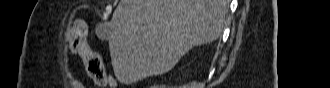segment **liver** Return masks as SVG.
Listing matches in <instances>:
<instances>
[{"mask_svg":"<svg viewBox=\"0 0 330 88\" xmlns=\"http://www.w3.org/2000/svg\"><path fill=\"white\" fill-rule=\"evenodd\" d=\"M227 11L226 0H120L105 25L118 80L170 71L193 47L221 35Z\"/></svg>","mask_w":330,"mask_h":88,"instance_id":"obj_1","label":"liver"}]
</instances>
